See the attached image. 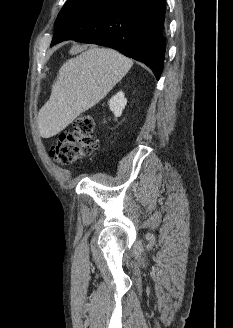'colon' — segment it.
I'll return each mask as SVG.
<instances>
[{
    "instance_id": "colon-1",
    "label": "colon",
    "mask_w": 233,
    "mask_h": 328,
    "mask_svg": "<svg viewBox=\"0 0 233 328\" xmlns=\"http://www.w3.org/2000/svg\"><path fill=\"white\" fill-rule=\"evenodd\" d=\"M96 146L93 118L81 115L74 120L71 130L59 134L50 156L55 162L68 165L91 155Z\"/></svg>"
}]
</instances>
